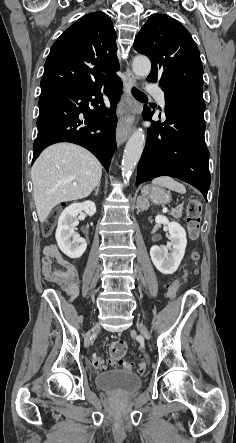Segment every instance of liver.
Returning <instances> with one entry per match:
<instances>
[{"label":"liver","mask_w":236,"mask_h":443,"mask_svg":"<svg viewBox=\"0 0 236 443\" xmlns=\"http://www.w3.org/2000/svg\"><path fill=\"white\" fill-rule=\"evenodd\" d=\"M102 166L86 149L59 143L45 149L31 170L33 197L43 223L60 202L86 198L100 183Z\"/></svg>","instance_id":"6515ba94"}]
</instances>
